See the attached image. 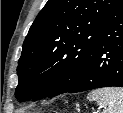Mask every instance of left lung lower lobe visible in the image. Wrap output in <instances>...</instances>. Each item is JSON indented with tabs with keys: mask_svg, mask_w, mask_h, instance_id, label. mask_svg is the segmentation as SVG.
Segmentation results:
<instances>
[{
	"mask_svg": "<svg viewBox=\"0 0 123 113\" xmlns=\"http://www.w3.org/2000/svg\"><path fill=\"white\" fill-rule=\"evenodd\" d=\"M111 86L123 87V0L105 16L81 78L66 92Z\"/></svg>",
	"mask_w": 123,
	"mask_h": 113,
	"instance_id": "0a47b994",
	"label": "left lung lower lobe"
}]
</instances>
